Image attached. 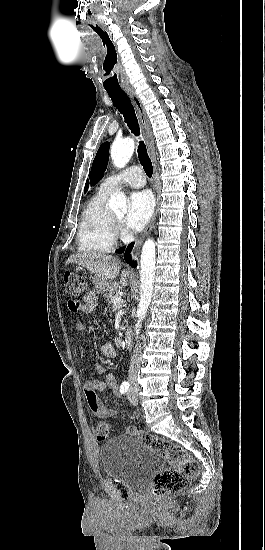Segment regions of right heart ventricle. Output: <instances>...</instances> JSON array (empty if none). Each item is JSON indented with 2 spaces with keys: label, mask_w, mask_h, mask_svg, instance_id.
Returning a JSON list of instances; mask_svg holds the SVG:
<instances>
[{
  "label": "right heart ventricle",
  "mask_w": 265,
  "mask_h": 550,
  "mask_svg": "<svg viewBox=\"0 0 265 550\" xmlns=\"http://www.w3.org/2000/svg\"><path fill=\"white\" fill-rule=\"evenodd\" d=\"M111 192L99 188L84 208L77 232V245L84 252H108L115 243L112 212L107 207Z\"/></svg>",
  "instance_id": "obj_1"
}]
</instances>
